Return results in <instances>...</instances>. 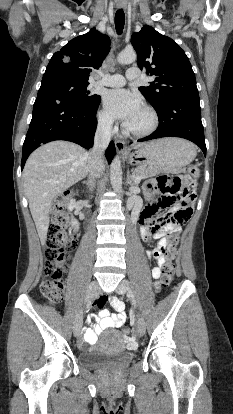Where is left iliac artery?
<instances>
[{
    "label": "left iliac artery",
    "mask_w": 233,
    "mask_h": 414,
    "mask_svg": "<svg viewBox=\"0 0 233 414\" xmlns=\"http://www.w3.org/2000/svg\"><path fill=\"white\" fill-rule=\"evenodd\" d=\"M129 296L131 297L134 306H136V299H135V296H134V294L131 290H129Z\"/></svg>",
    "instance_id": "obj_1"
}]
</instances>
